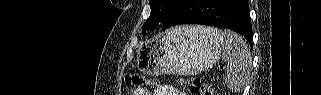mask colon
I'll use <instances>...</instances> for the list:
<instances>
[{"label": "colon", "instance_id": "obj_1", "mask_svg": "<svg viewBox=\"0 0 321 95\" xmlns=\"http://www.w3.org/2000/svg\"><path fill=\"white\" fill-rule=\"evenodd\" d=\"M124 80L127 85L134 87H151L155 86L157 80L155 78H146L135 73H126ZM179 84L182 85L191 94L201 95H218L214 89L204 84L197 78H184L179 80Z\"/></svg>", "mask_w": 321, "mask_h": 95}]
</instances>
